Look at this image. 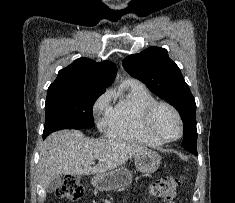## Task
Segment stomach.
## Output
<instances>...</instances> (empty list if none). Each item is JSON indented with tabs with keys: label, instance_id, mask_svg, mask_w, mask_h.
<instances>
[{
	"label": "stomach",
	"instance_id": "stomach-1",
	"mask_svg": "<svg viewBox=\"0 0 235 203\" xmlns=\"http://www.w3.org/2000/svg\"><path fill=\"white\" fill-rule=\"evenodd\" d=\"M136 169L141 173H153L160 165V156L155 151L144 150L134 156ZM132 182L131 172L124 167L96 174L92 185L100 191L116 190L128 186Z\"/></svg>",
	"mask_w": 235,
	"mask_h": 203
}]
</instances>
